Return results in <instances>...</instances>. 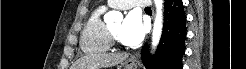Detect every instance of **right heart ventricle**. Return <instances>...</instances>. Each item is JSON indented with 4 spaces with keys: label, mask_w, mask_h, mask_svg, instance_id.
Returning a JSON list of instances; mask_svg holds the SVG:
<instances>
[{
    "label": "right heart ventricle",
    "mask_w": 246,
    "mask_h": 69,
    "mask_svg": "<svg viewBox=\"0 0 246 69\" xmlns=\"http://www.w3.org/2000/svg\"><path fill=\"white\" fill-rule=\"evenodd\" d=\"M105 6L97 7L86 22L81 38V49L85 53H101L110 49L112 42L104 14Z\"/></svg>",
    "instance_id": "e07e8e85"
}]
</instances>
